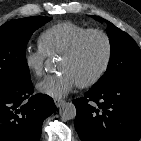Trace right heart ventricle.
<instances>
[{
  "label": "right heart ventricle",
  "instance_id": "e07e8e85",
  "mask_svg": "<svg viewBox=\"0 0 141 141\" xmlns=\"http://www.w3.org/2000/svg\"><path fill=\"white\" fill-rule=\"evenodd\" d=\"M89 28L74 22H60L47 28L39 37V45L48 56L61 55L74 40Z\"/></svg>",
  "mask_w": 141,
  "mask_h": 141
}]
</instances>
